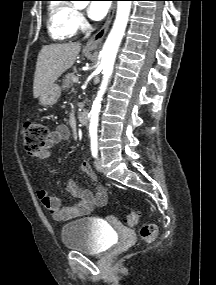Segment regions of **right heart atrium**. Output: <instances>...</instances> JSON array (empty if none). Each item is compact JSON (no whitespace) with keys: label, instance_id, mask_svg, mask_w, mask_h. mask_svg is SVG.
Wrapping results in <instances>:
<instances>
[{"label":"right heart atrium","instance_id":"d8ad5b80","mask_svg":"<svg viewBox=\"0 0 216 285\" xmlns=\"http://www.w3.org/2000/svg\"><path fill=\"white\" fill-rule=\"evenodd\" d=\"M75 22H76L77 28H81L82 29L86 25V20H85L83 14L80 11H76Z\"/></svg>","mask_w":216,"mask_h":285}]
</instances>
